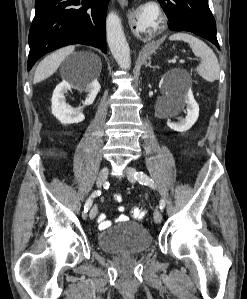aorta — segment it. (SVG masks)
Returning a JSON list of instances; mask_svg holds the SVG:
<instances>
[{
  "label": "aorta",
  "mask_w": 247,
  "mask_h": 299,
  "mask_svg": "<svg viewBox=\"0 0 247 299\" xmlns=\"http://www.w3.org/2000/svg\"><path fill=\"white\" fill-rule=\"evenodd\" d=\"M106 37L110 51L121 69L131 67L130 49L127 43L121 20L114 12L106 19Z\"/></svg>",
  "instance_id": "1"
}]
</instances>
